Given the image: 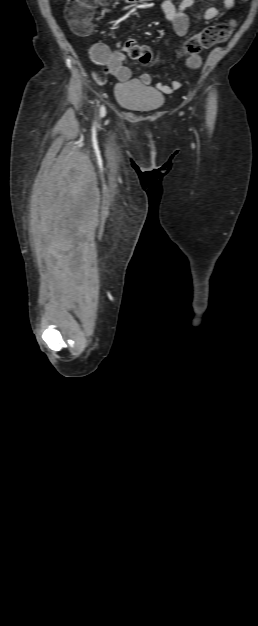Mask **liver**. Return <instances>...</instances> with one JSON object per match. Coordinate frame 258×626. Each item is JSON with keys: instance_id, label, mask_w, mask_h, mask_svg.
Here are the masks:
<instances>
[{"instance_id": "6515ba94", "label": "liver", "mask_w": 258, "mask_h": 626, "mask_svg": "<svg viewBox=\"0 0 258 626\" xmlns=\"http://www.w3.org/2000/svg\"><path fill=\"white\" fill-rule=\"evenodd\" d=\"M46 217H47V213H46V212H44V213H43V217H42V221H43V222H45V221H46Z\"/></svg>"}]
</instances>
